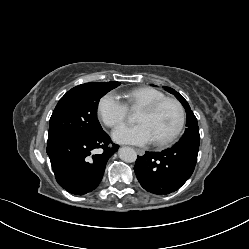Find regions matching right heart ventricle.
<instances>
[{
	"instance_id": "obj_1",
	"label": "right heart ventricle",
	"mask_w": 249,
	"mask_h": 249,
	"mask_svg": "<svg viewBox=\"0 0 249 249\" xmlns=\"http://www.w3.org/2000/svg\"><path fill=\"white\" fill-rule=\"evenodd\" d=\"M163 97H166L163 92L152 87H138L123 94L126 105L130 109H140L142 106Z\"/></svg>"
}]
</instances>
